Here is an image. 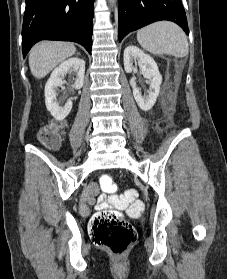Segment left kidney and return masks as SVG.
I'll return each mask as SVG.
<instances>
[{
    "label": "left kidney",
    "instance_id": "5707ae66",
    "mask_svg": "<svg viewBox=\"0 0 227 279\" xmlns=\"http://www.w3.org/2000/svg\"><path fill=\"white\" fill-rule=\"evenodd\" d=\"M138 63V66L144 76L149 80V92L147 96H142L140 89L136 86L135 79H130V85L133 89L134 98L138 106L144 110H150L156 102L160 92L162 76L154 59L145 54L136 46L130 45L124 50V68L127 73L134 70L133 62Z\"/></svg>",
    "mask_w": 227,
    "mask_h": 279
}]
</instances>
